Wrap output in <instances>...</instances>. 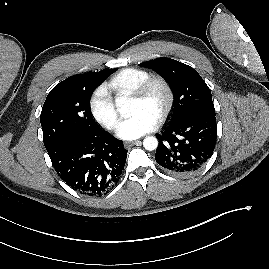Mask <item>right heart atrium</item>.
Listing matches in <instances>:
<instances>
[{
  "label": "right heart atrium",
  "instance_id": "right-heart-atrium-1",
  "mask_svg": "<svg viewBox=\"0 0 269 269\" xmlns=\"http://www.w3.org/2000/svg\"><path fill=\"white\" fill-rule=\"evenodd\" d=\"M89 108L93 117L105 128L115 130L119 115L106 85H99L92 92Z\"/></svg>",
  "mask_w": 269,
  "mask_h": 269
}]
</instances>
